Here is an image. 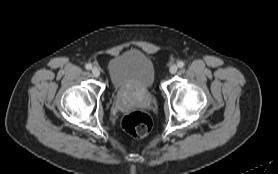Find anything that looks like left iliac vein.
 Masks as SVG:
<instances>
[{
  "instance_id": "1",
  "label": "left iliac vein",
  "mask_w": 278,
  "mask_h": 174,
  "mask_svg": "<svg viewBox=\"0 0 278 174\" xmlns=\"http://www.w3.org/2000/svg\"><path fill=\"white\" fill-rule=\"evenodd\" d=\"M177 70H178V67H177V65H171L170 66V68H169V72L171 73V74H175L176 72H177Z\"/></svg>"
}]
</instances>
